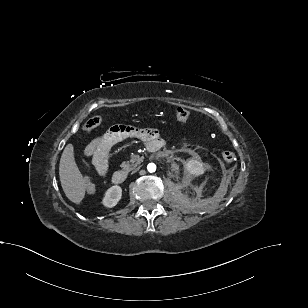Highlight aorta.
Segmentation results:
<instances>
[{"label":"aorta","mask_w":308,"mask_h":308,"mask_svg":"<svg viewBox=\"0 0 308 308\" xmlns=\"http://www.w3.org/2000/svg\"><path fill=\"white\" fill-rule=\"evenodd\" d=\"M147 170L149 172H155L156 170V165L154 163H149L148 166H147Z\"/></svg>","instance_id":"762f6f07"}]
</instances>
